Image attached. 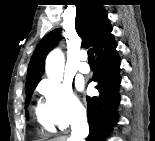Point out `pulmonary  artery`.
Instances as JSON below:
<instances>
[{
	"label": "pulmonary artery",
	"instance_id": "e3ab8cb5",
	"mask_svg": "<svg viewBox=\"0 0 155 141\" xmlns=\"http://www.w3.org/2000/svg\"><path fill=\"white\" fill-rule=\"evenodd\" d=\"M80 59L82 60V62L78 65V70L83 73V74H87L90 71V67L89 65L85 62L87 59V54L85 52L81 53L80 55Z\"/></svg>",
	"mask_w": 155,
	"mask_h": 141
}]
</instances>
